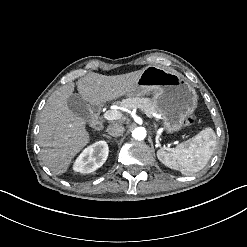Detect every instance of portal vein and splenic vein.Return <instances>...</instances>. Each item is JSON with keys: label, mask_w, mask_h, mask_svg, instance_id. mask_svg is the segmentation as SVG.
I'll return each instance as SVG.
<instances>
[{"label": "portal vein and splenic vein", "mask_w": 247, "mask_h": 247, "mask_svg": "<svg viewBox=\"0 0 247 247\" xmlns=\"http://www.w3.org/2000/svg\"><path fill=\"white\" fill-rule=\"evenodd\" d=\"M120 110H123V107H122V109H119V110H113V111L109 110V111H107L105 113V118L107 120H120V119H123L124 118V114ZM156 126H157V124L155 122H153V127L155 128Z\"/></svg>", "instance_id": "obj_1"}]
</instances>
